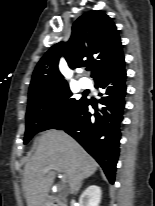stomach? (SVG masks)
<instances>
[{
  "label": "stomach",
  "mask_w": 155,
  "mask_h": 206,
  "mask_svg": "<svg viewBox=\"0 0 155 206\" xmlns=\"http://www.w3.org/2000/svg\"><path fill=\"white\" fill-rule=\"evenodd\" d=\"M42 206H48L46 203H44Z\"/></svg>",
  "instance_id": "0dacf381"
}]
</instances>
